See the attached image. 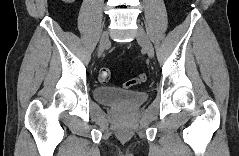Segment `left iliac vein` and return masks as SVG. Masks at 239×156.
<instances>
[{
	"mask_svg": "<svg viewBox=\"0 0 239 156\" xmlns=\"http://www.w3.org/2000/svg\"><path fill=\"white\" fill-rule=\"evenodd\" d=\"M136 39H137L138 43H140L142 45V47L145 49L148 56L150 58H152L154 56V48H153V45H152L151 41L149 40L147 34L145 33L144 29L142 28V26H139L137 29Z\"/></svg>",
	"mask_w": 239,
	"mask_h": 156,
	"instance_id": "obj_1",
	"label": "left iliac vein"
}]
</instances>
